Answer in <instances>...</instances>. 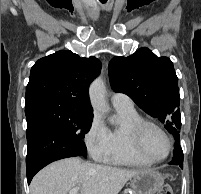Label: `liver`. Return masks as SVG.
<instances>
[{"instance_id":"liver-1","label":"liver","mask_w":201,"mask_h":194,"mask_svg":"<svg viewBox=\"0 0 201 194\" xmlns=\"http://www.w3.org/2000/svg\"><path fill=\"white\" fill-rule=\"evenodd\" d=\"M141 171L84 162L78 157L63 159L35 175L30 194H68L79 186L80 194H118Z\"/></svg>"}]
</instances>
